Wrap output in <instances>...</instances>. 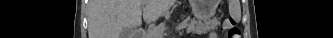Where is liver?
Instances as JSON below:
<instances>
[{
  "instance_id": "6515ba94",
  "label": "liver",
  "mask_w": 333,
  "mask_h": 38,
  "mask_svg": "<svg viewBox=\"0 0 333 38\" xmlns=\"http://www.w3.org/2000/svg\"><path fill=\"white\" fill-rule=\"evenodd\" d=\"M174 0H91L89 3V38H120L124 28L145 21H155Z\"/></svg>"
}]
</instances>
